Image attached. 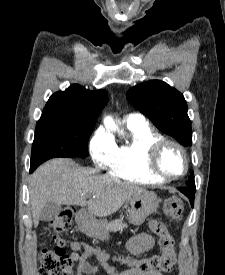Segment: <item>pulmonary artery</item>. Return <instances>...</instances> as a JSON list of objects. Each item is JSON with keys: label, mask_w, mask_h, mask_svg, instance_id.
I'll return each instance as SVG.
<instances>
[{"label": "pulmonary artery", "mask_w": 225, "mask_h": 275, "mask_svg": "<svg viewBox=\"0 0 225 275\" xmlns=\"http://www.w3.org/2000/svg\"><path fill=\"white\" fill-rule=\"evenodd\" d=\"M125 120L128 125H139L146 123L145 117L139 113H130L126 115Z\"/></svg>", "instance_id": "obj_1"}]
</instances>
